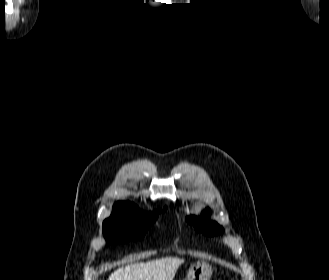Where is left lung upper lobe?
Listing matches in <instances>:
<instances>
[{
	"label": "left lung upper lobe",
	"mask_w": 329,
	"mask_h": 280,
	"mask_svg": "<svg viewBox=\"0 0 329 280\" xmlns=\"http://www.w3.org/2000/svg\"><path fill=\"white\" fill-rule=\"evenodd\" d=\"M205 213H208V210H206ZM186 220L189 224L194 225L197 231L202 232L206 235H210V236L215 234L217 235L224 231L223 228L220 225H218L216 222L209 221L204 218L190 216L187 217Z\"/></svg>",
	"instance_id": "obj_1"
}]
</instances>
